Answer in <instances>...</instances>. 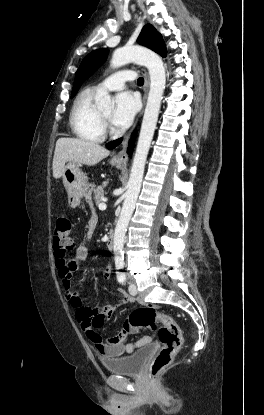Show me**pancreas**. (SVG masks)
Returning a JSON list of instances; mask_svg holds the SVG:
<instances>
[{"label":"pancreas","instance_id":"obj_1","mask_svg":"<svg viewBox=\"0 0 264 415\" xmlns=\"http://www.w3.org/2000/svg\"><path fill=\"white\" fill-rule=\"evenodd\" d=\"M104 197V190L102 186H98L94 189V200L97 205H99L102 202V199Z\"/></svg>","mask_w":264,"mask_h":415}]
</instances>
